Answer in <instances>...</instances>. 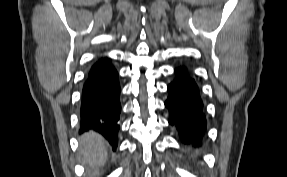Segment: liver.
I'll list each match as a JSON object with an SVG mask.
<instances>
[{
    "instance_id": "6515ba94",
    "label": "liver",
    "mask_w": 287,
    "mask_h": 177,
    "mask_svg": "<svg viewBox=\"0 0 287 177\" xmlns=\"http://www.w3.org/2000/svg\"><path fill=\"white\" fill-rule=\"evenodd\" d=\"M81 162L94 172L107 160V147L103 137L93 131L85 133L81 140Z\"/></svg>"
}]
</instances>
